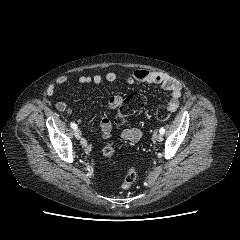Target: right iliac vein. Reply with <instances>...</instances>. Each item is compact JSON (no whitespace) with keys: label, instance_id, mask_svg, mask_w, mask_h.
<instances>
[{"label":"right iliac vein","instance_id":"right-iliac-vein-1","mask_svg":"<svg viewBox=\"0 0 240 240\" xmlns=\"http://www.w3.org/2000/svg\"><path fill=\"white\" fill-rule=\"evenodd\" d=\"M74 135H75V137H76L77 139H80V138H81V131H80L79 129H76V130L74 131Z\"/></svg>","mask_w":240,"mask_h":240}]
</instances>
